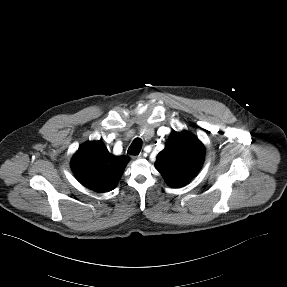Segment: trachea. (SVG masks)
I'll list each match as a JSON object with an SVG mask.
<instances>
[{"mask_svg":"<svg viewBox=\"0 0 287 287\" xmlns=\"http://www.w3.org/2000/svg\"><path fill=\"white\" fill-rule=\"evenodd\" d=\"M142 148V141L140 138H135L128 148V153L130 155H138Z\"/></svg>","mask_w":287,"mask_h":287,"instance_id":"obj_1","label":"trachea"}]
</instances>
